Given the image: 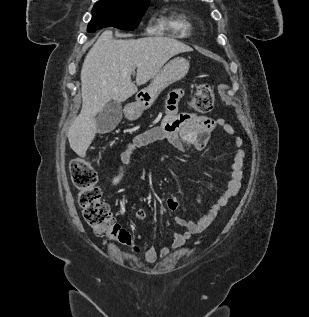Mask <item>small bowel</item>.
Instances as JSON below:
<instances>
[{"instance_id": "small-bowel-1", "label": "small bowel", "mask_w": 309, "mask_h": 317, "mask_svg": "<svg viewBox=\"0 0 309 317\" xmlns=\"http://www.w3.org/2000/svg\"><path fill=\"white\" fill-rule=\"evenodd\" d=\"M182 96V90L172 91L167 100L166 115L161 125L139 133L126 144L120 152V161L123 165H128L139 149L157 141H167L180 152H187L191 148L203 151L207 148L210 136L216 129H221L229 135L235 134L233 127L223 119H212L195 113H180L178 104ZM242 144V139L235 136L234 145L236 150L226 188L199 219L186 220L181 217H175V223L183 229L173 234V241L170 246H163L158 251L147 240H143L144 256L148 263L156 262L158 257H167L172 251L181 248L192 235L206 229L215 220L221 208L226 206L229 200L237 195L241 187L244 171L245 153L242 149ZM123 175V172H120L112 178V187L120 183ZM199 200H201V197H199ZM166 208L170 212L176 211L179 208V201L174 198L168 199ZM136 217L138 220L143 221L146 218V212L138 210Z\"/></svg>"}]
</instances>
